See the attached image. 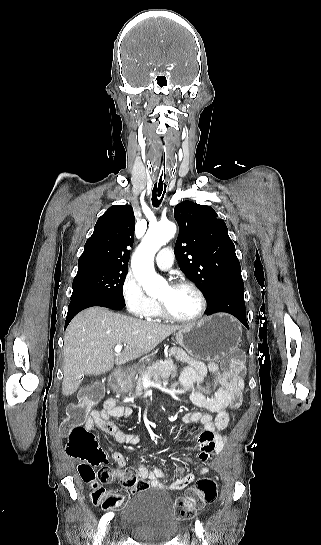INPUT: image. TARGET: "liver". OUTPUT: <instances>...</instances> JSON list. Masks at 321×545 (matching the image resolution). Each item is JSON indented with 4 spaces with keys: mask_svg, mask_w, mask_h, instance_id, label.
I'll return each instance as SVG.
<instances>
[{
    "mask_svg": "<svg viewBox=\"0 0 321 545\" xmlns=\"http://www.w3.org/2000/svg\"><path fill=\"white\" fill-rule=\"evenodd\" d=\"M179 329L184 325L141 321L103 307L85 309L72 319L65 333L63 395H73L85 375H103L114 365H125L150 353ZM122 343H126L124 351L114 355L115 345Z\"/></svg>",
    "mask_w": 321,
    "mask_h": 545,
    "instance_id": "liver-1",
    "label": "liver"
}]
</instances>
